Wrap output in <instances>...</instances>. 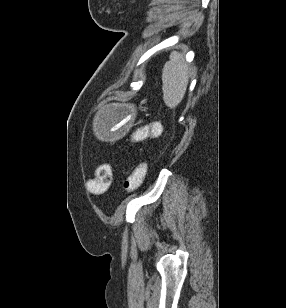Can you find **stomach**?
Wrapping results in <instances>:
<instances>
[{"label": "stomach", "instance_id": "stomach-1", "mask_svg": "<svg viewBox=\"0 0 286 308\" xmlns=\"http://www.w3.org/2000/svg\"><path fill=\"white\" fill-rule=\"evenodd\" d=\"M110 112H95V119L99 125H93L96 132L97 144H127V137H122V132H127L129 125V112L123 100H108Z\"/></svg>", "mask_w": 286, "mask_h": 308}]
</instances>
